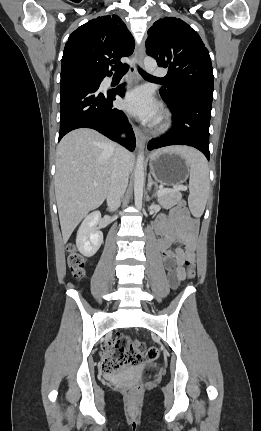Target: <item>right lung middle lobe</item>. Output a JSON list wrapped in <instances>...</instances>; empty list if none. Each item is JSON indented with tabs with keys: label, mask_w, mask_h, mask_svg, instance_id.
<instances>
[{
	"label": "right lung middle lobe",
	"mask_w": 261,
	"mask_h": 431,
	"mask_svg": "<svg viewBox=\"0 0 261 431\" xmlns=\"http://www.w3.org/2000/svg\"><path fill=\"white\" fill-rule=\"evenodd\" d=\"M68 77H88V78L98 79L97 75L86 71H82V70H72V71L61 73V79L68 78Z\"/></svg>",
	"instance_id": "1"
}]
</instances>
